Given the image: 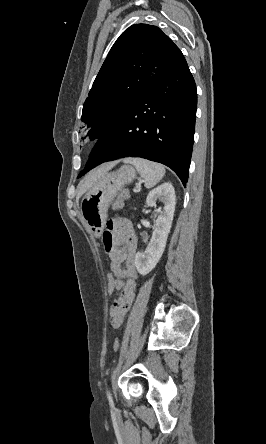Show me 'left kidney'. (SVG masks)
Instances as JSON below:
<instances>
[{"mask_svg": "<svg viewBox=\"0 0 266 444\" xmlns=\"http://www.w3.org/2000/svg\"><path fill=\"white\" fill-rule=\"evenodd\" d=\"M157 200L164 205L155 222L152 238L144 252L135 255V266L141 275H147L159 262L171 229L175 211V191L171 183H163L149 192L146 203L149 207H155Z\"/></svg>", "mask_w": 266, "mask_h": 444, "instance_id": "5707ae66", "label": "left kidney"}]
</instances>
